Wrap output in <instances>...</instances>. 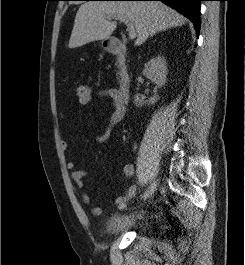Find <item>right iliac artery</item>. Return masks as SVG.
Segmentation results:
<instances>
[{
	"mask_svg": "<svg viewBox=\"0 0 245 265\" xmlns=\"http://www.w3.org/2000/svg\"><path fill=\"white\" fill-rule=\"evenodd\" d=\"M147 191H148V190H147ZM147 191L144 193V197L147 196ZM118 208H119V209H125V208H126V203H120V204L118 205Z\"/></svg>",
	"mask_w": 245,
	"mask_h": 265,
	"instance_id": "right-iliac-artery-1",
	"label": "right iliac artery"
}]
</instances>
